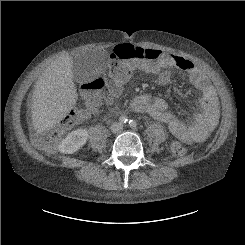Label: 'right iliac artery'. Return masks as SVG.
Returning <instances> with one entry per match:
<instances>
[{
    "mask_svg": "<svg viewBox=\"0 0 245 245\" xmlns=\"http://www.w3.org/2000/svg\"><path fill=\"white\" fill-rule=\"evenodd\" d=\"M119 121H120V123L124 124V123L128 122V118L126 116H121L119 118Z\"/></svg>",
    "mask_w": 245,
    "mask_h": 245,
    "instance_id": "82829eb1",
    "label": "right iliac artery"
}]
</instances>
